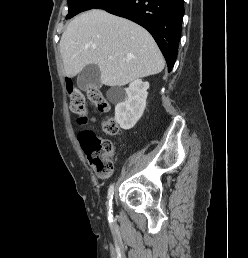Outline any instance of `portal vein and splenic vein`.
<instances>
[{
	"mask_svg": "<svg viewBox=\"0 0 248 258\" xmlns=\"http://www.w3.org/2000/svg\"><path fill=\"white\" fill-rule=\"evenodd\" d=\"M114 58H113V56H109V60H113Z\"/></svg>",
	"mask_w": 248,
	"mask_h": 258,
	"instance_id": "obj_1",
	"label": "portal vein and splenic vein"
}]
</instances>
